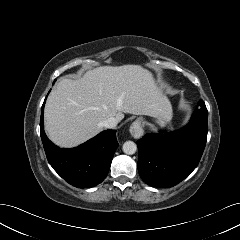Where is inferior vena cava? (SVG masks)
Returning a JSON list of instances; mask_svg holds the SVG:
<instances>
[{
	"label": "inferior vena cava",
	"mask_w": 240,
	"mask_h": 240,
	"mask_svg": "<svg viewBox=\"0 0 240 240\" xmlns=\"http://www.w3.org/2000/svg\"><path fill=\"white\" fill-rule=\"evenodd\" d=\"M118 124V120L115 117H110L106 119L104 122H102V126L107 129H112L116 127Z\"/></svg>",
	"instance_id": "obj_1"
}]
</instances>
